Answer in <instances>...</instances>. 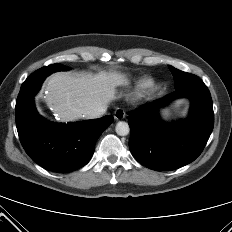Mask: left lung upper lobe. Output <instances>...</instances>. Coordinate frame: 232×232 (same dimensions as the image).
<instances>
[{
	"label": "left lung upper lobe",
	"mask_w": 232,
	"mask_h": 232,
	"mask_svg": "<svg viewBox=\"0 0 232 232\" xmlns=\"http://www.w3.org/2000/svg\"><path fill=\"white\" fill-rule=\"evenodd\" d=\"M172 74L174 75L175 89H178L182 86L191 84L199 80V78L193 74L180 71L172 66H169Z\"/></svg>",
	"instance_id": "5c2ea615"
}]
</instances>
